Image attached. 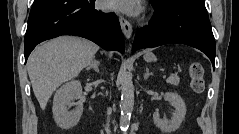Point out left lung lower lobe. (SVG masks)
<instances>
[{
	"label": "left lung lower lobe",
	"mask_w": 239,
	"mask_h": 134,
	"mask_svg": "<svg viewBox=\"0 0 239 134\" xmlns=\"http://www.w3.org/2000/svg\"><path fill=\"white\" fill-rule=\"evenodd\" d=\"M154 8L152 22L135 35L133 51L171 43L186 44L205 53L215 68V39L204 0H173L163 8Z\"/></svg>",
	"instance_id": "obj_1"
}]
</instances>
